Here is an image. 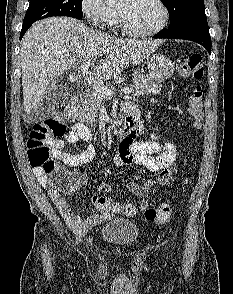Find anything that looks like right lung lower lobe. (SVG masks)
I'll list each match as a JSON object with an SVG mask.
<instances>
[{"mask_svg":"<svg viewBox=\"0 0 233 294\" xmlns=\"http://www.w3.org/2000/svg\"><path fill=\"white\" fill-rule=\"evenodd\" d=\"M30 26H23L22 27V30H21V33H20V39L22 38V36L25 34V32L28 30Z\"/></svg>","mask_w":233,"mask_h":294,"instance_id":"1","label":"right lung lower lobe"}]
</instances>
